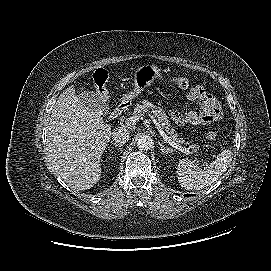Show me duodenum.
<instances>
[{"mask_svg":"<svg viewBox=\"0 0 271 271\" xmlns=\"http://www.w3.org/2000/svg\"><path fill=\"white\" fill-rule=\"evenodd\" d=\"M127 104L125 102L119 103L115 109L113 110L110 119H115L123 114V112L126 110Z\"/></svg>","mask_w":271,"mask_h":271,"instance_id":"1","label":"duodenum"}]
</instances>
